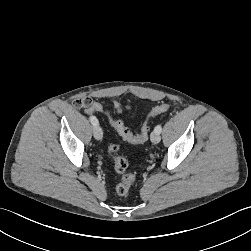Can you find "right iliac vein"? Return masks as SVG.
<instances>
[{
	"mask_svg": "<svg viewBox=\"0 0 251 251\" xmlns=\"http://www.w3.org/2000/svg\"><path fill=\"white\" fill-rule=\"evenodd\" d=\"M93 134H94L95 139L101 140L103 137V131H102L101 127L98 125L94 126Z\"/></svg>",
	"mask_w": 251,
	"mask_h": 251,
	"instance_id": "obj_1",
	"label": "right iliac vein"
}]
</instances>
